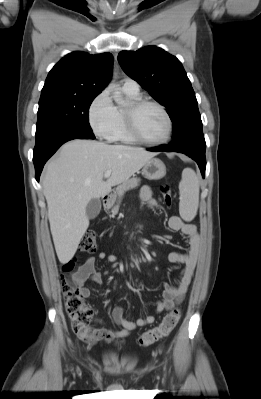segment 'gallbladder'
Here are the masks:
<instances>
[{
    "label": "gallbladder",
    "mask_w": 261,
    "mask_h": 399,
    "mask_svg": "<svg viewBox=\"0 0 261 399\" xmlns=\"http://www.w3.org/2000/svg\"><path fill=\"white\" fill-rule=\"evenodd\" d=\"M101 210V201L98 198H93L89 201L86 206V215L89 219H94L97 217Z\"/></svg>",
    "instance_id": "gallbladder-1"
}]
</instances>
